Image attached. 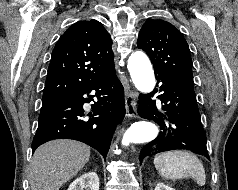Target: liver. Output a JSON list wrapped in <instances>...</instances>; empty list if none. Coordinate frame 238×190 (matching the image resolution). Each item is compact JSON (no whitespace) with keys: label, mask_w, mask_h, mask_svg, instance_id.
<instances>
[{"label":"liver","mask_w":238,"mask_h":190,"mask_svg":"<svg viewBox=\"0 0 238 190\" xmlns=\"http://www.w3.org/2000/svg\"><path fill=\"white\" fill-rule=\"evenodd\" d=\"M90 147L69 139L49 141L38 147L30 165L31 190H59L84 167Z\"/></svg>","instance_id":"liver-1"}]
</instances>
